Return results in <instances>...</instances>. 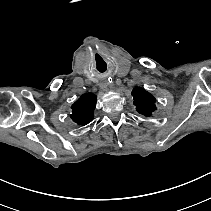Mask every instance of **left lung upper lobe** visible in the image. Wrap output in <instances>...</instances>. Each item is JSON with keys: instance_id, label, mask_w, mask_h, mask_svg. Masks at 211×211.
<instances>
[{"instance_id": "5c2ea615", "label": "left lung upper lobe", "mask_w": 211, "mask_h": 211, "mask_svg": "<svg viewBox=\"0 0 211 211\" xmlns=\"http://www.w3.org/2000/svg\"><path fill=\"white\" fill-rule=\"evenodd\" d=\"M132 96L138 113L149 117L156 110L155 97L143 88H134L132 91Z\"/></svg>"}]
</instances>
